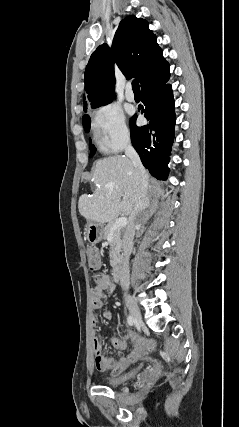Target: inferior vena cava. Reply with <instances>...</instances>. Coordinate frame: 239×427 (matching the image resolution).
<instances>
[{"mask_svg": "<svg viewBox=\"0 0 239 427\" xmlns=\"http://www.w3.org/2000/svg\"><path fill=\"white\" fill-rule=\"evenodd\" d=\"M125 154L131 160L136 173L138 175V195L135 201L133 211L130 214L129 223L123 235V260L121 266L120 285L124 289H128L130 285L129 280V258L133 249V240L135 235V226L139 222V216L148 207L149 198L148 192V177L140 157L136 150L131 145L130 141L127 142L125 147Z\"/></svg>", "mask_w": 239, "mask_h": 427, "instance_id": "obj_1", "label": "inferior vena cava"}]
</instances>
